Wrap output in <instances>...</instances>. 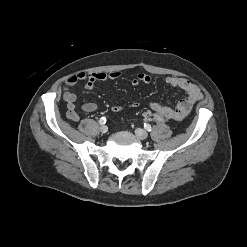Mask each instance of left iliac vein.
<instances>
[{"instance_id": "4c4485c4", "label": "left iliac vein", "mask_w": 247, "mask_h": 247, "mask_svg": "<svg viewBox=\"0 0 247 247\" xmlns=\"http://www.w3.org/2000/svg\"><path fill=\"white\" fill-rule=\"evenodd\" d=\"M135 134L141 140H144L148 137V133L144 129H141V128H137L135 130Z\"/></svg>"}]
</instances>
